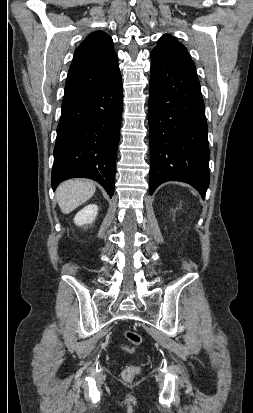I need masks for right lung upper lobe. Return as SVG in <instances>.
<instances>
[{"label":"right lung upper lobe","instance_id":"right-lung-upper-lobe-1","mask_svg":"<svg viewBox=\"0 0 253 413\" xmlns=\"http://www.w3.org/2000/svg\"><path fill=\"white\" fill-rule=\"evenodd\" d=\"M118 70V57L112 38L103 31L89 34L74 53L62 102L92 92L106 83Z\"/></svg>","mask_w":253,"mask_h":413}]
</instances>
